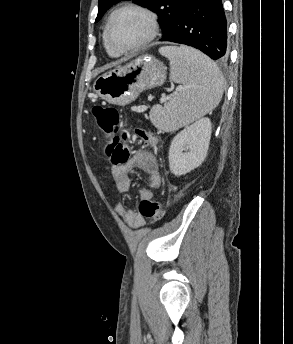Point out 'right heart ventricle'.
<instances>
[{
	"label": "right heart ventricle",
	"mask_w": 293,
	"mask_h": 344,
	"mask_svg": "<svg viewBox=\"0 0 293 344\" xmlns=\"http://www.w3.org/2000/svg\"><path fill=\"white\" fill-rule=\"evenodd\" d=\"M104 45H105V49H106L107 53H108L111 57H118V56H120V54L115 53L114 51H112V50L107 46V44L105 43V40H104Z\"/></svg>",
	"instance_id": "right-heart-ventricle-1"
}]
</instances>
